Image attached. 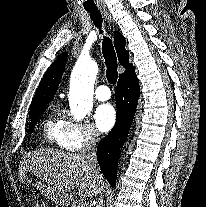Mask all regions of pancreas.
<instances>
[{
    "label": "pancreas",
    "mask_w": 206,
    "mask_h": 207,
    "mask_svg": "<svg viewBox=\"0 0 206 207\" xmlns=\"http://www.w3.org/2000/svg\"><path fill=\"white\" fill-rule=\"evenodd\" d=\"M72 207H88V206H84V203L82 201L74 200L72 202Z\"/></svg>",
    "instance_id": "obj_1"
}]
</instances>
